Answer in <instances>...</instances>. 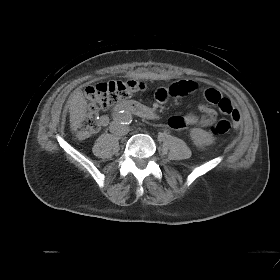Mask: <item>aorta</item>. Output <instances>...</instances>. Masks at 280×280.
<instances>
[{
  "mask_svg": "<svg viewBox=\"0 0 280 280\" xmlns=\"http://www.w3.org/2000/svg\"><path fill=\"white\" fill-rule=\"evenodd\" d=\"M132 119V115L128 111H121L119 114V121L122 124H127Z\"/></svg>",
  "mask_w": 280,
  "mask_h": 280,
  "instance_id": "762f6f07",
  "label": "aorta"
}]
</instances>
